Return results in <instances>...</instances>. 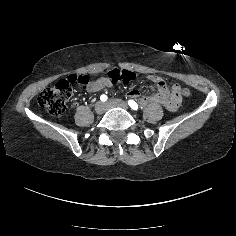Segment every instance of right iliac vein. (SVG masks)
I'll use <instances>...</instances> for the list:
<instances>
[{"label":"right iliac vein","mask_w":236,"mask_h":236,"mask_svg":"<svg viewBox=\"0 0 236 236\" xmlns=\"http://www.w3.org/2000/svg\"><path fill=\"white\" fill-rule=\"evenodd\" d=\"M94 109L96 114L101 115L107 110V106L103 102L99 101L95 104Z\"/></svg>","instance_id":"obj_1"}]
</instances>
